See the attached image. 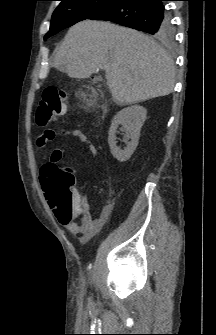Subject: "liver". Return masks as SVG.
<instances>
[{"instance_id":"6515ba94","label":"liver","mask_w":216,"mask_h":335,"mask_svg":"<svg viewBox=\"0 0 216 335\" xmlns=\"http://www.w3.org/2000/svg\"><path fill=\"white\" fill-rule=\"evenodd\" d=\"M53 66L77 79L103 69L112 98L120 106L168 95L175 84L174 62L160 45L109 22L85 20L73 25Z\"/></svg>"}]
</instances>
